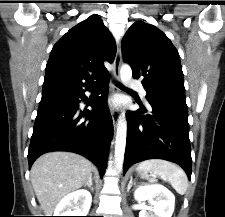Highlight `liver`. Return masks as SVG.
<instances>
[{"instance_id":"6515ba94","label":"liver","mask_w":225,"mask_h":217,"mask_svg":"<svg viewBox=\"0 0 225 217\" xmlns=\"http://www.w3.org/2000/svg\"><path fill=\"white\" fill-rule=\"evenodd\" d=\"M94 165L85 157L71 152H49L33 164L30 174L34 192L46 216H52L63 197L81 188Z\"/></svg>"}]
</instances>
